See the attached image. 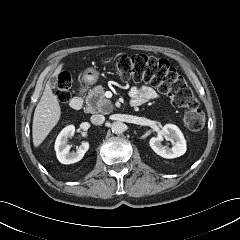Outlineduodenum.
Here are the masks:
<instances>
[{
  "label": "duodenum",
  "instance_id": "410a0bca",
  "mask_svg": "<svg viewBox=\"0 0 240 240\" xmlns=\"http://www.w3.org/2000/svg\"><path fill=\"white\" fill-rule=\"evenodd\" d=\"M83 105V91H81L77 96L72 98L70 101V108L74 111L79 110ZM132 107H136L134 103H131Z\"/></svg>",
  "mask_w": 240,
  "mask_h": 240
}]
</instances>
